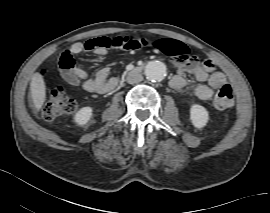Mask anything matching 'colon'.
Wrapping results in <instances>:
<instances>
[{
    "mask_svg": "<svg viewBox=\"0 0 270 213\" xmlns=\"http://www.w3.org/2000/svg\"><path fill=\"white\" fill-rule=\"evenodd\" d=\"M137 42L142 46L151 45L156 48L162 46L165 54L170 57H179L177 54L181 51V45L178 42L168 41L162 43L161 41L148 38H140ZM195 59H197L196 56ZM204 64L205 66H208V60H206ZM59 65L60 68L69 71L73 68L74 63L72 59L60 57ZM43 76H45L44 73L42 74V77ZM233 100V88L231 85L226 84L217 91L213 103L217 109H227L232 105ZM76 106V101L69 95L67 90L63 88H53L49 92L48 100L42 105L41 118L44 121H52L58 116L73 113Z\"/></svg>",
    "mask_w": 270,
    "mask_h": 213,
    "instance_id": "colon-1",
    "label": "colon"
}]
</instances>
